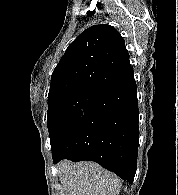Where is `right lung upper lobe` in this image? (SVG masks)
<instances>
[{"label": "right lung upper lobe", "instance_id": "right-lung-upper-lobe-1", "mask_svg": "<svg viewBox=\"0 0 178 195\" xmlns=\"http://www.w3.org/2000/svg\"><path fill=\"white\" fill-rule=\"evenodd\" d=\"M132 76L120 33L110 25H95L66 49L53 71L48 99L76 91L98 93Z\"/></svg>", "mask_w": 178, "mask_h": 195}]
</instances>
